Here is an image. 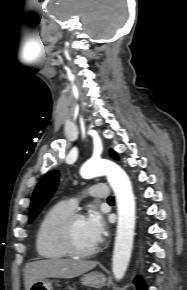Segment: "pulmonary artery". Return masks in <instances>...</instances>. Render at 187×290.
<instances>
[{
    "instance_id": "1",
    "label": "pulmonary artery",
    "mask_w": 187,
    "mask_h": 290,
    "mask_svg": "<svg viewBox=\"0 0 187 290\" xmlns=\"http://www.w3.org/2000/svg\"><path fill=\"white\" fill-rule=\"evenodd\" d=\"M88 193L92 197L99 198V199L107 200L109 198V189L106 186L101 185V184L92 185L88 189ZM66 203L71 209H74L78 204V199L76 197H73L69 199Z\"/></svg>"
}]
</instances>
